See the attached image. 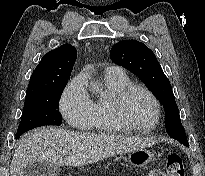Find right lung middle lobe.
Segmentation results:
<instances>
[{"label":"right lung middle lobe","instance_id":"dd1d6c3e","mask_svg":"<svg viewBox=\"0 0 205 176\" xmlns=\"http://www.w3.org/2000/svg\"><path fill=\"white\" fill-rule=\"evenodd\" d=\"M66 84L48 92L26 96L21 123L16 138L25 131L45 125H61L62 116L58 110L59 99Z\"/></svg>","mask_w":205,"mask_h":176}]
</instances>
